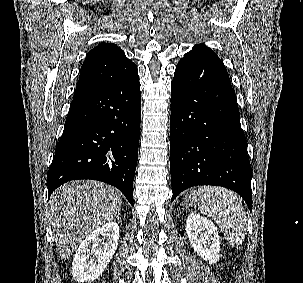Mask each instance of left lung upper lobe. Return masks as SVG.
<instances>
[{
	"label": "left lung upper lobe",
	"instance_id": "1",
	"mask_svg": "<svg viewBox=\"0 0 303 283\" xmlns=\"http://www.w3.org/2000/svg\"><path fill=\"white\" fill-rule=\"evenodd\" d=\"M196 48H207V47L202 44H199V45H196L193 47V49H196Z\"/></svg>",
	"mask_w": 303,
	"mask_h": 283
}]
</instances>
